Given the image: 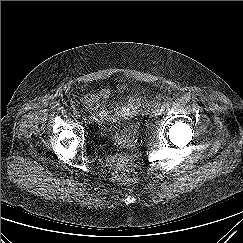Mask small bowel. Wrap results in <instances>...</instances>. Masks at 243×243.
Returning a JSON list of instances; mask_svg holds the SVG:
<instances>
[{
    "mask_svg": "<svg viewBox=\"0 0 243 243\" xmlns=\"http://www.w3.org/2000/svg\"><path fill=\"white\" fill-rule=\"evenodd\" d=\"M117 90L121 94L126 92L123 85H120ZM110 97L111 91L108 88H102L97 92L86 93L82 102L96 122L114 124L113 130L116 134L122 139H127L133 130V125L130 122L139 112L141 100L136 95H125V102L122 105L107 108L106 102Z\"/></svg>",
    "mask_w": 243,
    "mask_h": 243,
    "instance_id": "c3829d8e",
    "label": "small bowel"
}]
</instances>
